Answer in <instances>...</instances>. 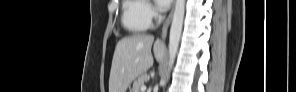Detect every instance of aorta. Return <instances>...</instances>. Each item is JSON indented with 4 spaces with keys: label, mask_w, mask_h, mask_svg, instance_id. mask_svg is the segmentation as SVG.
<instances>
[{
    "label": "aorta",
    "mask_w": 296,
    "mask_h": 92,
    "mask_svg": "<svg viewBox=\"0 0 296 92\" xmlns=\"http://www.w3.org/2000/svg\"><path fill=\"white\" fill-rule=\"evenodd\" d=\"M184 14H185V0H176L175 3V10L173 14V19L170 28V35H169V66L166 72L165 78L162 79V85L165 87L168 81L170 71L174 64L176 54L179 48L182 28H183V21H184Z\"/></svg>",
    "instance_id": "1"
}]
</instances>
